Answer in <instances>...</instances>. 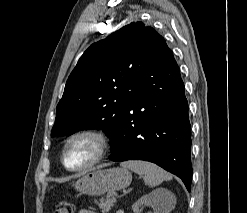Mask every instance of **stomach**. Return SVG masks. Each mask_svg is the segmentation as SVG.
<instances>
[{"label":"stomach","instance_id":"0dacf381","mask_svg":"<svg viewBox=\"0 0 247 213\" xmlns=\"http://www.w3.org/2000/svg\"><path fill=\"white\" fill-rule=\"evenodd\" d=\"M132 174L125 168L95 169L77 180L74 187L82 194L101 196L129 186Z\"/></svg>","mask_w":247,"mask_h":213}]
</instances>
